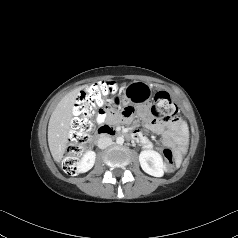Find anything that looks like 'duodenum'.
Wrapping results in <instances>:
<instances>
[{
    "instance_id": "1",
    "label": "duodenum",
    "mask_w": 238,
    "mask_h": 238,
    "mask_svg": "<svg viewBox=\"0 0 238 238\" xmlns=\"http://www.w3.org/2000/svg\"><path fill=\"white\" fill-rule=\"evenodd\" d=\"M97 135L100 138L124 136L131 140H137V135L134 132L128 133V132H122V131H115L114 129H112L111 127H109L107 125L99 126L97 129Z\"/></svg>"
}]
</instances>
